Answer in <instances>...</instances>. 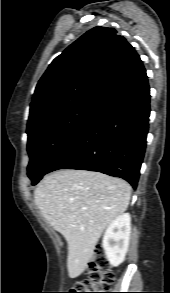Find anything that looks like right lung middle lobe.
Here are the masks:
<instances>
[{"instance_id": "dd1d6c3e", "label": "right lung middle lobe", "mask_w": 170, "mask_h": 293, "mask_svg": "<svg viewBox=\"0 0 170 293\" xmlns=\"http://www.w3.org/2000/svg\"><path fill=\"white\" fill-rule=\"evenodd\" d=\"M102 105L83 103L65 109L27 129L32 185L48 173L54 161L90 126Z\"/></svg>"}]
</instances>
